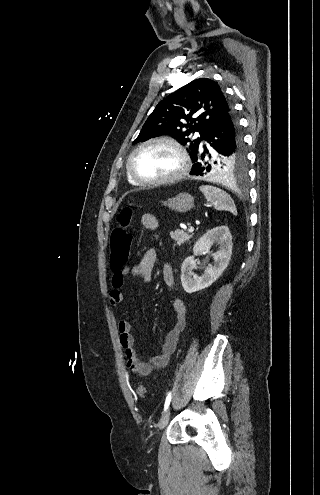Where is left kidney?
<instances>
[{
	"instance_id": "left-kidney-1",
	"label": "left kidney",
	"mask_w": 320,
	"mask_h": 495,
	"mask_svg": "<svg viewBox=\"0 0 320 495\" xmlns=\"http://www.w3.org/2000/svg\"><path fill=\"white\" fill-rule=\"evenodd\" d=\"M213 245L218 249L212 254L213 263L208 264L200 277H194L195 256L208 253ZM232 254V236L226 226L216 227L204 234L193 247V256L187 257L181 266V283L187 293H193L212 285L224 272Z\"/></svg>"
}]
</instances>
